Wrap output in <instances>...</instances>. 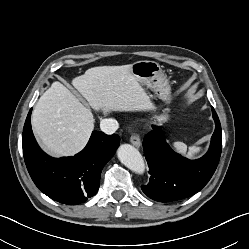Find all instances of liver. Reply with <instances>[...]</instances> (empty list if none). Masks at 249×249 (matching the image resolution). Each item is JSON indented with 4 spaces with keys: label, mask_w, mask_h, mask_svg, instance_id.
Instances as JSON below:
<instances>
[{
    "label": "liver",
    "mask_w": 249,
    "mask_h": 249,
    "mask_svg": "<svg viewBox=\"0 0 249 249\" xmlns=\"http://www.w3.org/2000/svg\"><path fill=\"white\" fill-rule=\"evenodd\" d=\"M72 85L93 109L104 114L152 109L149 95L129 65L90 68L74 78ZM31 121L43 147L55 156L80 152L94 129L91 110L60 82H54L40 97Z\"/></svg>",
    "instance_id": "obj_1"
}]
</instances>
